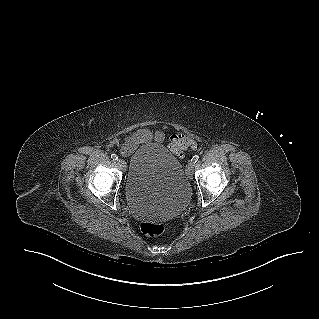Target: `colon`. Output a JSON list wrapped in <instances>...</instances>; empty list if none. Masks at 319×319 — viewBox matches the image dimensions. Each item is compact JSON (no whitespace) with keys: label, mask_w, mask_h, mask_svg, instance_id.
<instances>
[{"label":"colon","mask_w":319,"mask_h":319,"mask_svg":"<svg viewBox=\"0 0 319 319\" xmlns=\"http://www.w3.org/2000/svg\"><path fill=\"white\" fill-rule=\"evenodd\" d=\"M197 144V140L192 137L187 130L180 129L176 134L170 137L168 148L176 155L182 156L185 149L196 147ZM140 229L142 233L147 236H159L165 231V227L162 223L152 221L141 222Z\"/></svg>","instance_id":"obj_1"}]
</instances>
